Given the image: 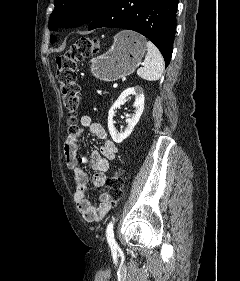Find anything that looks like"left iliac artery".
Returning a JSON list of instances; mask_svg holds the SVG:
<instances>
[{
	"label": "left iliac artery",
	"instance_id": "44dca946",
	"mask_svg": "<svg viewBox=\"0 0 240 281\" xmlns=\"http://www.w3.org/2000/svg\"><path fill=\"white\" fill-rule=\"evenodd\" d=\"M106 238L107 241L112 249V251H116L118 246L117 243L114 239V233H113V221H111L108 225H107V229H106Z\"/></svg>",
	"mask_w": 240,
	"mask_h": 281
}]
</instances>
